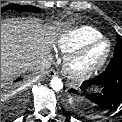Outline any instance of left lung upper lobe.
Here are the masks:
<instances>
[{
    "label": "left lung upper lobe",
    "mask_w": 122,
    "mask_h": 122,
    "mask_svg": "<svg viewBox=\"0 0 122 122\" xmlns=\"http://www.w3.org/2000/svg\"><path fill=\"white\" fill-rule=\"evenodd\" d=\"M117 42L115 45L114 57L122 56V36L119 34L116 36Z\"/></svg>",
    "instance_id": "1"
}]
</instances>
